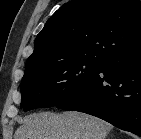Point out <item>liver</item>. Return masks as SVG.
<instances>
[{
	"instance_id": "1",
	"label": "liver",
	"mask_w": 141,
	"mask_h": 139,
	"mask_svg": "<svg viewBox=\"0 0 141 139\" xmlns=\"http://www.w3.org/2000/svg\"><path fill=\"white\" fill-rule=\"evenodd\" d=\"M112 125L82 112H41L21 119L14 139H106Z\"/></svg>"
}]
</instances>
